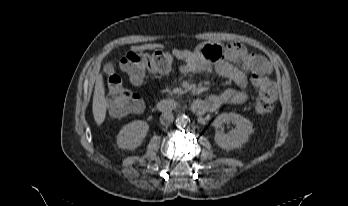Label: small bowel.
<instances>
[{"instance_id":"obj_1","label":"small bowel","mask_w":348,"mask_h":206,"mask_svg":"<svg viewBox=\"0 0 348 206\" xmlns=\"http://www.w3.org/2000/svg\"><path fill=\"white\" fill-rule=\"evenodd\" d=\"M149 47L159 48L161 46L151 44ZM173 54L181 61L180 71L184 74L206 72L213 68L219 76L236 84V88L226 89L208 98L212 102L210 108L212 112L224 105L243 103L248 98V78L234 63L242 64L247 70L256 74L271 71V66L264 57L239 42H230L225 46L201 44L194 50L176 48L173 50Z\"/></svg>"}]
</instances>
